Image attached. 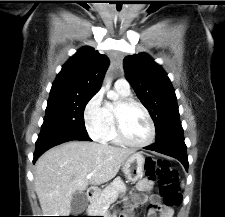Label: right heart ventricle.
Returning <instances> with one entry per match:
<instances>
[{
  "label": "right heart ventricle",
  "instance_id": "obj_1",
  "mask_svg": "<svg viewBox=\"0 0 225 217\" xmlns=\"http://www.w3.org/2000/svg\"><path fill=\"white\" fill-rule=\"evenodd\" d=\"M117 91L122 98L130 96V93H125L118 89ZM114 107L115 105L111 102H108L104 105V113L106 118L107 129L104 136L100 140L104 143H108L112 145H121L122 143L117 136L116 127H115Z\"/></svg>",
  "mask_w": 225,
  "mask_h": 217
}]
</instances>
